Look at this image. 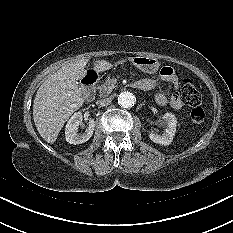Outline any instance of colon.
Instances as JSON below:
<instances>
[{
    "instance_id": "1",
    "label": "colon",
    "mask_w": 233,
    "mask_h": 233,
    "mask_svg": "<svg viewBox=\"0 0 233 233\" xmlns=\"http://www.w3.org/2000/svg\"><path fill=\"white\" fill-rule=\"evenodd\" d=\"M181 95L186 104L192 107V122L196 125L202 124L205 120V112L203 108L200 107L201 95L191 80L185 79L183 81Z\"/></svg>"
}]
</instances>
